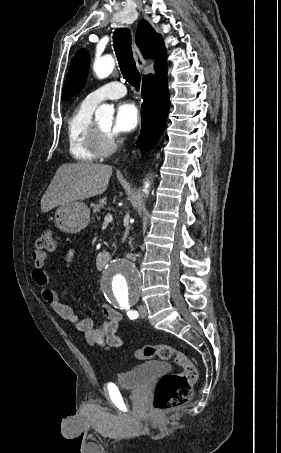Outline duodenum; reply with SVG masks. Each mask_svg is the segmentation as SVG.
<instances>
[{
    "label": "duodenum",
    "mask_w": 281,
    "mask_h": 453,
    "mask_svg": "<svg viewBox=\"0 0 281 453\" xmlns=\"http://www.w3.org/2000/svg\"><path fill=\"white\" fill-rule=\"evenodd\" d=\"M111 256L108 251H101L96 256V265L98 269H103L110 261Z\"/></svg>",
    "instance_id": "1"
}]
</instances>
